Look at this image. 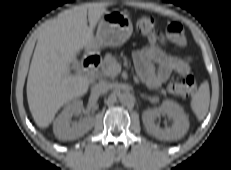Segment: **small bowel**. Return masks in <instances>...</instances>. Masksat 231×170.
I'll return each instance as SVG.
<instances>
[{"label":"small bowel","mask_w":231,"mask_h":170,"mask_svg":"<svg viewBox=\"0 0 231 170\" xmlns=\"http://www.w3.org/2000/svg\"><path fill=\"white\" fill-rule=\"evenodd\" d=\"M166 39L177 47H183L186 39L180 24L171 23L167 27ZM133 60L139 76L151 87L165 83L172 73L182 76L190 73V59L165 52L156 36L151 37L147 46L134 52Z\"/></svg>","instance_id":"obj_1"}]
</instances>
